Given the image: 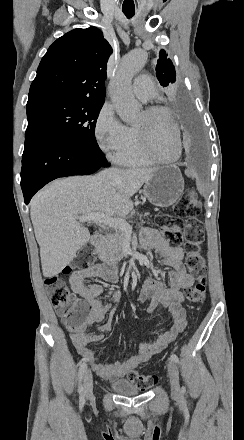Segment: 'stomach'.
Returning <instances> with one entry per match:
<instances>
[{"label":"stomach","mask_w":244,"mask_h":440,"mask_svg":"<svg viewBox=\"0 0 244 440\" xmlns=\"http://www.w3.org/2000/svg\"><path fill=\"white\" fill-rule=\"evenodd\" d=\"M184 190V178L174 164L156 168L143 188V196L158 208H168L180 200Z\"/></svg>","instance_id":"1"}]
</instances>
